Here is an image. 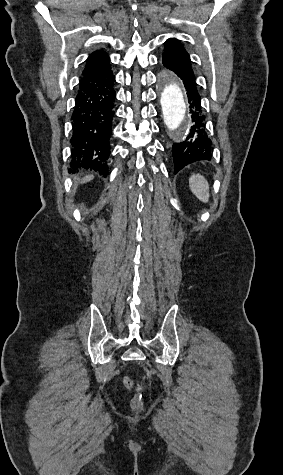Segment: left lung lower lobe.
Segmentation results:
<instances>
[{"mask_svg": "<svg viewBox=\"0 0 283 475\" xmlns=\"http://www.w3.org/2000/svg\"><path fill=\"white\" fill-rule=\"evenodd\" d=\"M168 54L167 51L163 52L162 63L183 80L193 123L186 140L181 143H175L172 147L175 173H177L192 162L211 160L212 141L207 133L205 115L201 107V97L191 68V60L170 58Z\"/></svg>", "mask_w": 283, "mask_h": 475, "instance_id": "0a47b994", "label": "left lung lower lobe"}]
</instances>
